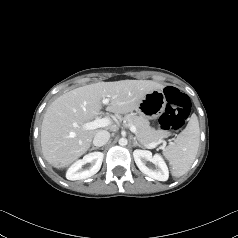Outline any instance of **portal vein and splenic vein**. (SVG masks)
<instances>
[{
	"label": "portal vein and splenic vein",
	"instance_id": "portal-vein-and-splenic-vein-1",
	"mask_svg": "<svg viewBox=\"0 0 238 238\" xmlns=\"http://www.w3.org/2000/svg\"><path fill=\"white\" fill-rule=\"evenodd\" d=\"M102 103H103V104H106V105L109 104V99H108V98H104V99L102 100ZM109 125H111V120H110V118H107V117H105V118H99V117H97L94 121L85 123V124L83 125V128H84L85 130H93V129H97V128H101V127H107V126H109ZM129 129H130V131L133 132V133H136V132H137L136 127L133 126V125H130V126H129ZM160 143H162V141L153 142V143L148 144L147 147H148L149 149H153V148H155V147H156L158 144H160ZM163 144H165V141H163Z\"/></svg>",
	"mask_w": 238,
	"mask_h": 238
}]
</instances>
